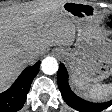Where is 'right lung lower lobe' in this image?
<instances>
[{"label": "right lung lower lobe", "mask_w": 112, "mask_h": 112, "mask_svg": "<svg viewBox=\"0 0 112 112\" xmlns=\"http://www.w3.org/2000/svg\"><path fill=\"white\" fill-rule=\"evenodd\" d=\"M40 62L26 68L14 84L5 92L0 94V112H16L20 110L29 92L32 80L39 71Z\"/></svg>", "instance_id": "98d812e1"}]
</instances>
